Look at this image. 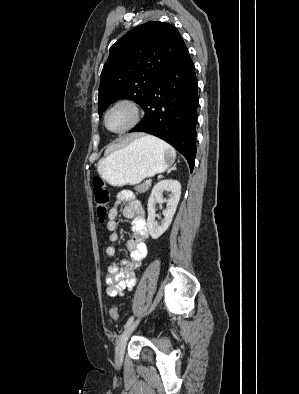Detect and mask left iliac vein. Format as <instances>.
<instances>
[{"label":"left iliac vein","mask_w":299,"mask_h":394,"mask_svg":"<svg viewBox=\"0 0 299 394\" xmlns=\"http://www.w3.org/2000/svg\"><path fill=\"white\" fill-rule=\"evenodd\" d=\"M138 323H139V320L132 322L128 327H126V329L121 334L120 339L117 344V347H116V364L117 365H120L123 362L126 343L129 339L130 335L132 334V332L137 327Z\"/></svg>","instance_id":"4c4485c4"}]
</instances>
